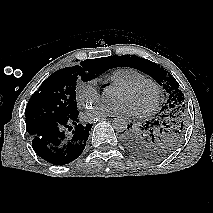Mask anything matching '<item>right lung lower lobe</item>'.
Returning a JSON list of instances; mask_svg holds the SVG:
<instances>
[{
    "instance_id": "obj_1",
    "label": "right lung lower lobe",
    "mask_w": 213,
    "mask_h": 213,
    "mask_svg": "<svg viewBox=\"0 0 213 213\" xmlns=\"http://www.w3.org/2000/svg\"><path fill=\"white\" fill-rule=\"evenodd\" d=\"M79 112L72 117L49 122L31 134L34 151L45 161L65 165L83 152L92 125L79 124Z\"/></svg>"
}]
</instances>
